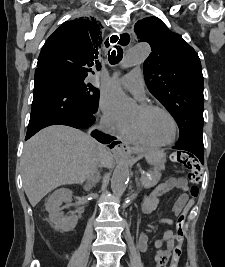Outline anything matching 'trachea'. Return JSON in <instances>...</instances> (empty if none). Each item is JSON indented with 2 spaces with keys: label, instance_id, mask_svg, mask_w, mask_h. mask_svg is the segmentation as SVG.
I'll return each instance as SVG.
<instances>
[{
  "label": "trachea",
  "instance_id": "obj_1",
  "mask_svg": "<svg viewBox=\"0 0 225 267\" xmlns=\"http://www.w3.org/2000/svg\"><path fill=\"white\" fill-rule=\"evenodd\" d=\"M113 37H114V41H112V43H116L118 41V36L114 35ZM124 37H125V35H122V37H120V41H119L120 44H123ZM128 39H130L129 36H128ZM115 48H116V50H113L111 53H110V51L108 52V59H109L110 64H112V65L117 64L119 61H121V59L123 57L122 48L117 47V46H115Z\"/></svg>",
  "mask_w": 225,
  "mask_h": 267
}]
</instances>
